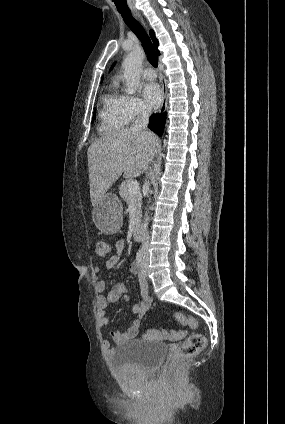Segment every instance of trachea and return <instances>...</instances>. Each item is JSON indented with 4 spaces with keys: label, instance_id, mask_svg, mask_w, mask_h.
I'll list each match as a JSON object with an SVG mask.
<instances>
[{
    "label": "trachea",
    "instance_id": "3493384b",
    "mask_svg": "<svg viewBox=\"0 0 285 424\" xmlns=\"http://www.w3.org/2000/svg\"><path fill=\"white\" fill-rule=\"evenodd\" d=\"M126 25L140 39L142 46L147 54L148 61L154 67L158 66V56L153 44L142 25L132 16L131 11H119Z\"/></svg>",
    "mask_w": 285,
    "mask_h": 424
}]
</instances>
